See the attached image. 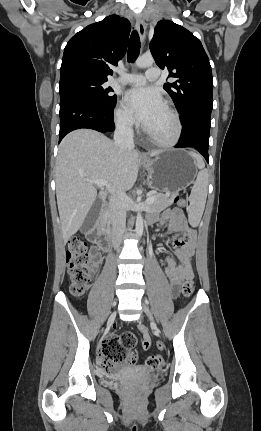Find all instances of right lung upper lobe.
<instances>
[{"instance_id": "1", "label": "right lung upper lobe", "mask_w": 261, "mask_h": 431, "mask_svg": "<svg viewBox=\"0 0 261 431\" xmlns=\"http://www.w3.org/2000/svg\"><path fill=\"white\" fill-rule=\"evenodd\" d=\"M130 22L118 15L88 25L67 43L60 75L81 71L107 79L127 50Z\"/></svg>"}]
</instances>
